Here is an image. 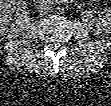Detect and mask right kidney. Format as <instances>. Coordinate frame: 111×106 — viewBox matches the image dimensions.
Masks as SVG:
<instances>
[{"label": "right kidney", "mask_w": 111, "mask_h": 106, "mask_svg": "<svg viewBox=\"0 0 111 106\" xmlns=\"http://www.w3.org/2000/svg\"><path fill=\"white\" fill-rule=\"evenodd\" d=\"M26 8L25 1L5 0L0 3V25L1 36L13 37L21 33L29 24V18L16 19L13 21L12 15L16 10Z\"/></svg>", "instance_id": "1"}]
</instances>
